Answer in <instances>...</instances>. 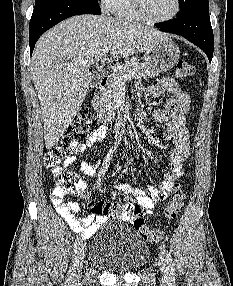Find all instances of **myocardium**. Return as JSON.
<instances>
[{
  "mask_svg": "<svg viewBox=\"0 0 233 286\" xmlns=\"http://www.w3.org/2000/svg\"><path fill=\"white\" fill-rule=\"evenodd\" d=\"M131 1H132V4L135 10L143 18V20L153 23V24H161V23H166V22L173 20L179 14L180 9H181L180 0H175V9L171 15H169L168 17L162 18V19H155V18L150 17L147 14L143 0H131Z\"/></svg>",
  "mask_w": 233,
  "mask_h": 286,
  "instance_id": "1",
  "label": "myocardium"
}]
</instances>
